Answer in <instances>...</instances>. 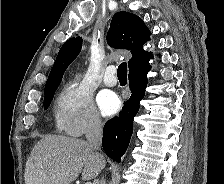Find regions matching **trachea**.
Returning a JSON list of instances; mask_svg holds the SVG:
<instances>
[{
    "label": "trachea",
    "instance_id": "1",
    "mask_svg": "<svg viewBox=\"0 0 224 184\" xmlns=\"http://www.w3.org/2000/svg\"><path fill=\"white\" fill-rule=\"evenodd\" d=\"M117 76L119 79L127 80V63L122 62L117 69Z\"/></svg>",
    "mask_w": 224,
    "mask_h": 184
}]
</instances>
